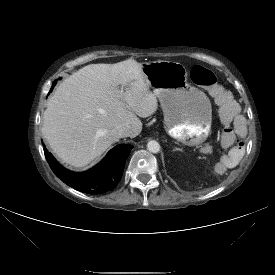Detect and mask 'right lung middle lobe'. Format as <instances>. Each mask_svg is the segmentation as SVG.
I'll return each instance as SVG.
<instances>
[{
  "label": "right lung middle lobe",
  "instance_id": "1",
  "mask_svg": "<svg viewBox=\"0 0 275 275\" xmlns=\"http://www.w3.org/2000/svg\"><path fill=\"white\" fill-rule=\"evenodd\" d=\"M56 84V81H54L53 82V85H52V88H51V90L50 91H52L53 90V87H54V85Z\"/></svg>",
  "mask_w": 275,
  "mask_h": 275
}]
</instances>
